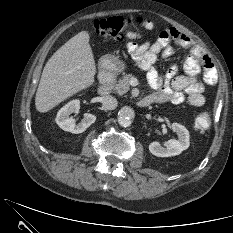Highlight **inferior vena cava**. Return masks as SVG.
Wrapping results in <instances>:
<instances>
[{
  "label": "inferior vena cava",
  "mask_w": 233,
  "mask_h": 233,
  "mask_svg": "<svg viewBox=\"0 0 233 233\" xmlns=\"http://www.w3.org/2000/svg\"><path fill=\"white\" fill-rule=\"evenodd\" d=\"M102 104L105 109L107 110H113L117 107V99L113 96H103L102 98Z\"/></svg>",
  "instance_id": "obj_1"
}]
</instances>
